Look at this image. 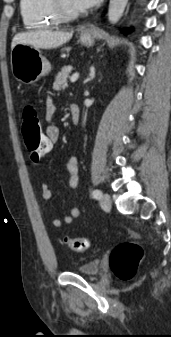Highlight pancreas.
Returning <instances> with one entry per match:
<instances>
[{
	"label": "pancreas",
	"mask_w": 171,
	"mask_h": 337,
	"mask_svg": "<svg viewBox=\"0 0 171 337\" xmlns=\"http://www.w3.org/2000/svg\"><path fill=\"white\" fill-rule=\"evenodd\" d=\"M71 71V66H65L61 69V71L57 74L55 78V82L53 84V89L56 91L64 90L67 85V78L69 76V72Z\"/></svg>",
	"instance_id": "pancreas-1"
}]
</instances>
